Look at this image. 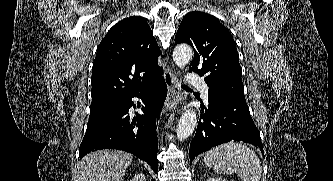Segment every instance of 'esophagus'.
<instances>
[{
  "instance_id": "34e87169",
  "label": "esophagus",
  "mask_w": 333,
  "mask_h": 181,
  "mask_svg": "<svg viewBox=\"0 0 333 181\" xmlns=\"http://www.w3.org/2000/svg\"><path fill=\"white\" fill-rule=\"evenodd\" d=\"M164 79L167 85V98L163 107V113L171 111L181 103L184 98L177 88L178 77L171 67H167L164 72Z\"/></svg>"
}]
</instances>
